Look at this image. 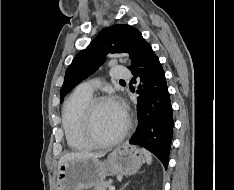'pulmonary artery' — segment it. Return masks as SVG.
Returning <instances> with one entry per match:
<instances>
[{"instance_id": "1", "label": "pulmonary artery", "mask_w": 234, "mask_h": 190, "mask_svg": "<svg viewBox=\"0 0 234 190\" xmlns=\"http://www.w3.org/2000/svg\"><path fill=\"white\" fill-rule=\"evenodd\" d=\"M112 77L114 79H121V78H128L130 77V71L127 67L124 66H114L111 70ZM96 86V82L94 81H89V82H84L80 84L77 87V91L85 94L92 95L94 92V88Z\"/></svg>"}]
</instances>
